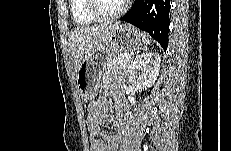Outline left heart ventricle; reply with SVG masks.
<instances>
[{"instance_id": "obj_1", "label": "left heart ventricle", "mask_w": 231, "mask_h": 151, "mask_svg": "<svg viewBox=\"0 0 231 151\" xmlns=\"http://www.w3.org/2000/svg\"><path fill=\"white\" fill-rule=\"evenodd\" d=\"M124 1L120 0H99V10L102 14L116 13Z\"/></svg>"}]
</instances>
